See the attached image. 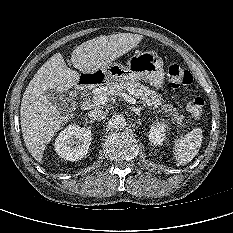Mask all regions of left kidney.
<instances>
[{"label": "left kidney", "mask_w": 233, "mask_h": 233, "mask_svg": "<svg viewBox=\"0 0 233 233\" xmlns=\"http://www.w3.org/2000/svg\"><path fill=\"white\" fill-rule=\"evenodd\" d=\"M167 125L164 123H155L149 131V139L152 144L160 145L165 140Z\"/></svg>", "instance_id": "5707ae66"}]
</instances>
